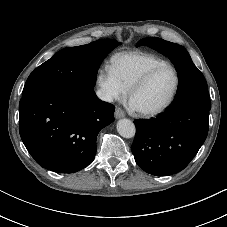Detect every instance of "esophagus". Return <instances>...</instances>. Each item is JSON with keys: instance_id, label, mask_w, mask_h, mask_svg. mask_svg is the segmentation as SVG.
<instances>
[{"instance_id": "34e87169", "label": "esophagus", "mask_w": 227, "mask_h": 227, "mask_svg": "<svg viewBox=\"0 0 227 227\" xmlns=\"http://www.w3.org/2000/svg\"><path fill=\"white\" fill-rule=\"evenodd\" d=\"M114 115H115L116 119H120V118H123L125 116V113H124V111L121 108L117 107L115 109Z\"/></svg>"}]
</instances>
